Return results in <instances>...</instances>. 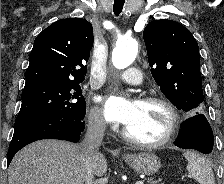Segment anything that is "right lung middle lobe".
Segmentation results:
<instances>
[{
  "label": "right lung middle lobe",
  "mask_w": 224,
  "mask_h": 184,
  "mask_svg": "<svg viewBox=\"0 0 224 184\" xmlns=\"http://www.w3.org/2000/svg\"><path fill=\"white\" fill-rule=\"evenodd\" d=\"M21 99L22 105L15 120V128L45 116L84 119L86 114L85 99L79 82H30L25 84Z\"/></svg>",
  "instance_id": "1"
}]
</instances>
